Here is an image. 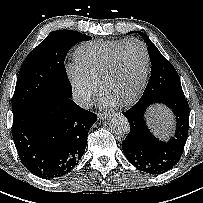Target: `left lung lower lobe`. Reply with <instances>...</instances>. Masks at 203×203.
<instances>
[{
	"label": "left lung lower lobe",
	"mask_w": 203,
	"mask_h": 203,
	"mask_svg": "<svg viewBox=\"0 0 203 203\" xmlns=\"http://www.w3.org/2000/svg\"><path fill=\"white\" fill-rule=\"evenodd\" d=\"M168 106L175 115L176 131L167 142L154 137L149 131L145 112L153 104ZM130 124V133L122 142L124 155L138 170L161 174L172 169L180 160L188 136L189 105L185 98L139 100L124 113Z\"/></svg>",
	"instance_id": "1"
}]
</instances>
